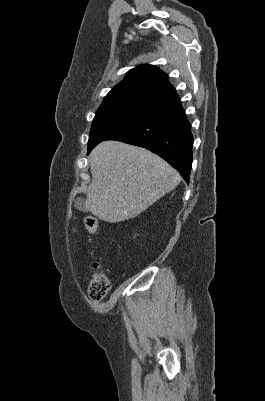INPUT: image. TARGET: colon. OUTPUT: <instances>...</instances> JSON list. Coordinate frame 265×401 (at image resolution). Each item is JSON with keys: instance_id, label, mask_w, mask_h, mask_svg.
I'll list each match as a JSON object with an SVG mask.
<instances>
[{"instance_id": "obj_1", "label": "colon", "mask_w": 265, "mask_h": 401, "mask_svg": "<svg viewBox=\"0 0 265 401\" xmlns=\"http://www.w3.org/2000/svg\"><path fill=\"white\" fill-rule=\"evenodd\" d=\"M84 227L89 234H95L99 229V222L97 218L88 216L84 219ZM94 266L98 272L89 281L88 295L92 301L98 302L109 293L111 281L107 273L100 269L98 263H95Z\"/></svg>"}]
</instances>
